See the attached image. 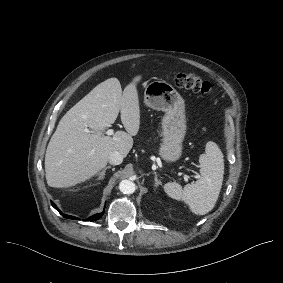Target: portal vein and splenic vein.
Instances as JSON below:
<instances>
[{"label": "portal vein and splenic vein", "mask_w": 283, "mask_h": 283, "mask_svg": "<svg viewBox=\"0 0 283 283\" xmlns=\"http://www.w3.org/2000/svg\"><path fill=\"white\" fill-rule=\"evenodd\" d=\"M107 135H113L114 134V131L113 129H108L107 132H106Z\"/></svg>", "instance_id": "1"}]
</instances>
